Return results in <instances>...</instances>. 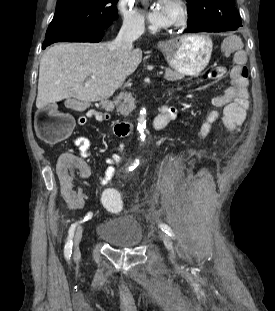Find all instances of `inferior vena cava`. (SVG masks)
Wrapping results in <instances>:
<instances>
[{
  "instance_id": "obj_1",
  "label": "inferior vena cava",
  "mask_w": 275,
  "mask_h": 311,
  "mask_svg": "<svg viewBox=\"0 0 275 311\" xmlns=\"http://www.w3.org/2000/svg\"><path fill=\"white\" fill-rule=\"evenodd\" d=\"M144 21H124L118 36L110 44V48L118 55H127L132 50L133 42L144 33Z\"/></svg>"
}]
</instances>
